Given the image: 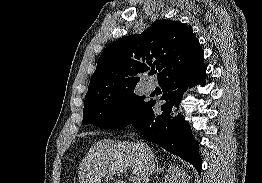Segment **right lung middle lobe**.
<instances>
[{
  "label": "right lung middle lobe",
  "mask_w": 262,
  "mask_h": 183,
  "mask_svg": "<svg viewBox=\"0 0 262 183\" xmlns=\"http://www.w3.org/2000/svg\"><path fill=\"white\" fill-rule=\"evenodd\" d=\"M144 96L133 90L94 100L85 104L82 124H94L101 129L128 126L148 105Z\"/></svg>",
  "instance_id": "right-lung-middle-lobe-1"
}]
</instances>
